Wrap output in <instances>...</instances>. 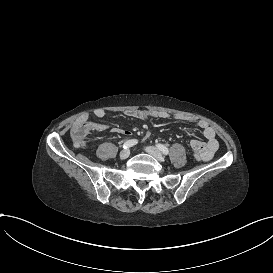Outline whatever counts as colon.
<instances>
[{
  "label": "colon",
  "mask_w": 273,
  "mask_h": 273,
  "mask_svg": "<svg viewBox=\"0 0 273 273\" xmlns=\"http://www.w3.org/2000/svg\"><path fill=\"white\" fill-rule=\"evenodd\" d=\"M94 133V127L87 123L83 117H78L70 124L69 135L78 147H85L87 145V138ZM188 145L191 149L200 152L205 151L206 146L194 139L189 140Z\"/></svg>",
  "instance_id": "1"
}]
</instances>
